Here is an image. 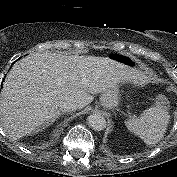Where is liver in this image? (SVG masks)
<instances>
[{
  "instance_id": "1",
  "label": "liver",
  "mask_w": 177,
  "mask_h": 177,
  "mask_svg": "<svg viewBox=\"0 0 177 177\" xmlns=\"http://www.w3.org/2000/svg\"><path fill=\"white\" fill-rule=\"evenodd\" d=\"M144 74L108 57L32 53L7 74L0 97L4 130L13 139L37 133L55 119L61 103L90 104L92 95L119 83H137Z\"/></svg>"
}]
</instances>
